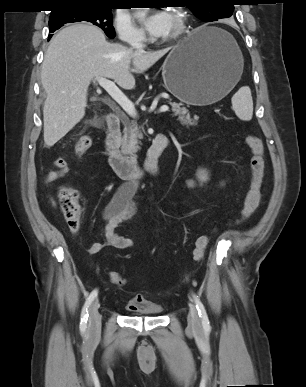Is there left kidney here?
I'll return each instance as SVG.
<instances>
[{
	"instance_id": "obj_1",
	"label": "left kidney",
	"mask_w": 306,
	"mask_h": 387,
	"mask_svg": "<svg viewBox=\"0 0 306 387\" xmlns=\"http://www.w3.org/2000/svg\"><path fill=\"white\" fill-rule=\"evenodd\" d=\"M197 176L200 180L206 181L207 180V173L205 170H199L197 173Z\"/></svg>"
}]
</instances>
